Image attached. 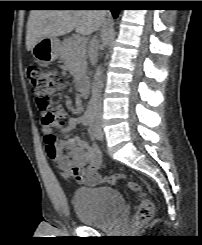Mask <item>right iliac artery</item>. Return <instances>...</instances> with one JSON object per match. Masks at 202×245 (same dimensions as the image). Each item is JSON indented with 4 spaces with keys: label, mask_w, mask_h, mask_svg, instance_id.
Listing matches in <instances>:
<instances>
[{
    "label": "right iliac artery",
    "mask_w": 202,
    "mask_h": 245,
    "mask_svg": "<svg viewBox=\"0 0 202 245\" xmlns=\"http://www.w3.org/2000/svg\"><path fill=\"white\" fill-rule=\"evenodd\" d=\"M81 120H82L83 125H89L91 121L93 120V113H92V109L90 106L87 108V110L81 117Z\"/></svg>",
    "instance_id": "obj_1"
}]
</instances>
